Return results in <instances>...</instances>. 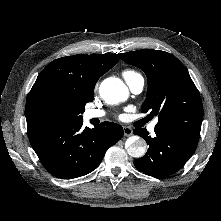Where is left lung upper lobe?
Segmentation results:
<instances>
[{
  "label": "left lung upper lobe",
  "instance_id": "1",
  "mask_svg": "<svg viewBox=\"0 0 221 221\" xmlns=\"http://www.w3.org/2000/svg\"><path fill=\"white\" fill-rule=\"evenodd\" d=\"M144 71L148 80L142 112L158 116L155 128L199 140L203 106L187 69L172 54L142 49L119 55Z\"/></svg>",
  "mask_w": 221,
  "mask_h": 221
}]
</instances>
